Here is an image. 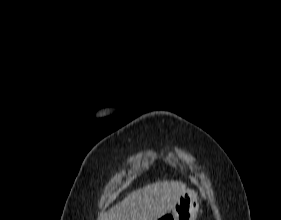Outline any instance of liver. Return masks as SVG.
<instances>
[{"instance_id":"6515ba94","label":"liver","mask_w":281,"mask_h":220,"mask_svg":"<svg viewBox=\"0 0 281 220\" xmlns=\"http://www.w3.org/2000/svg\"><path fill=\"white\" fill-rule=\"evenodd\" d=\"M186 185L181 181H157L130 193L98 220H158L169 213Z\"/></svg>"}]
</instances>
